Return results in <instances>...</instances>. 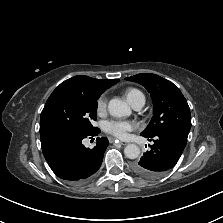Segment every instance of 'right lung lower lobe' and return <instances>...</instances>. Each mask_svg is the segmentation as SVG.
<instances>
[{"mask_svg": "<svg viewBox=\"0 0 223 223\" xmlns=\"http://www.w3.org/2000/svg\"><path fill=\"white\" fill-rule=\"evenodd\" d=\"M98 133L100 130L96 128L89 133L55 130L41 134L42 151L52 171L71 183L88 181L100 168L109 142L107 138H97L96 146L90 149L82 140Z\"/></svg>", "mask_w": 223, "mask_h": 223, "instance_id": "98d812e1", "label": "right lung lower lobe"}]
</instances>
